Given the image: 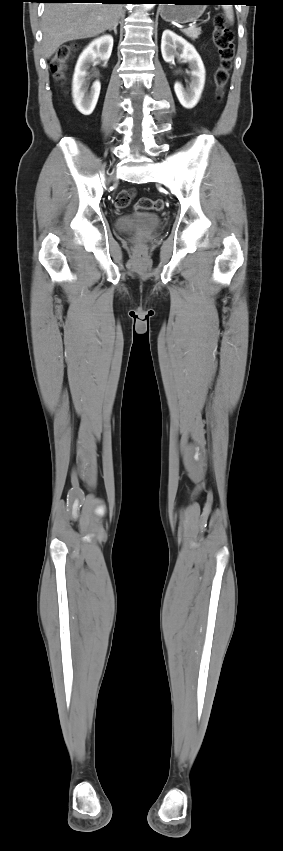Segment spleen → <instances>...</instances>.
Returning <instances> with one entry per match:
<instances>
[{
	"mask_svg": "<svg viewBox=\"0 0 283 851\" xmlns=\"http://www.w3.org/2000/svg\"><path fill=\"white\" fill-rule=\"evenodd\" d=\"M223 9H224V11H225L226 17H227V18H228L231 22H233L234 14H233V9H232V7H231V6H225Z\"/></svg>",
	"mask_w": 283,
	"mask_h": 851,
	"instance_id": "1",
	"label": "spleen"
}]
</instances>
